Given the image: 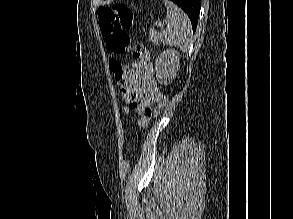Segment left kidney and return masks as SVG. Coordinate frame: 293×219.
<instances>
[{"label":"left kidney","mask_w":293,"mask_h":219,"mask_svg":"<svg viewBox=\"0 0 293 219\" xmlns=\"http://www.w3.org/2000/svg\"><path fill=\"white\" fill-rule=\"evenodd\" d=\"M180 66V53L174 49L164 50L155 61L156 78L164 86L176 77Z\"/></svg>","instance_id":"left-kidney-1"}]
</instances>
